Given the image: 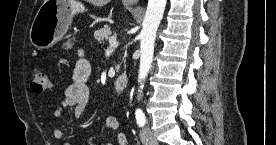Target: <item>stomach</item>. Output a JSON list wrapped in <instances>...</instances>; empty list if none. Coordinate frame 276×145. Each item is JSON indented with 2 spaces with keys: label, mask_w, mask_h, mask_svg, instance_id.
<instances>
[{
  "label": "stomach",
  "mask_w": 276,
  "mask_h": 145,
  "mask_svg": "<svg viewBox=\"0 0 276 145\" xmlns=\"http://www.w3.org/2000/svg\"><path fill=\"white\" fill-rule=\"evenodd\" d=\"M85 11L83 4L72 0H45L30 29V41L39 49H48L62 40L76 13ZM64 46L70 48L71 41Z\"/></svg>",
  "instance_id": "0dacf381"
}]
</instances>
